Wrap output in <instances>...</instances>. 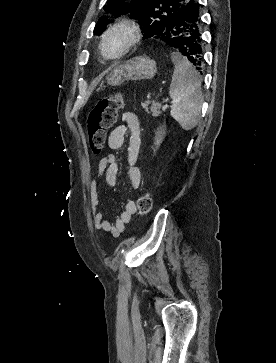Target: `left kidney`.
Returning a JSON list of instances; mask_svg holds the SVG:
<instances>
[{
  "mask_svg": "<svg viewBox=\"0 0 276 363\" xmlns=\"http://www.w3.org/2000/svg\"><path fill=\"white\" fill-rule=\"evenodd\" d=\"M161 141H162V135H161V134H159V135H158V137H156V142H155V144H156V145H159V144L161 143Z\"/></svg>",
  "mask_w": 276,
  "mask_h": 363,
  "instance_id": "5707ae66",
  "label": "left kidney"
}]
</instances>
